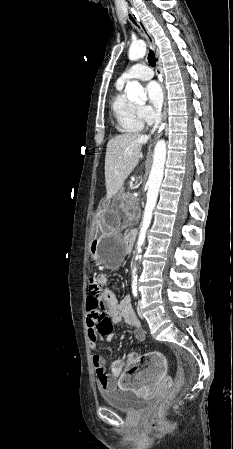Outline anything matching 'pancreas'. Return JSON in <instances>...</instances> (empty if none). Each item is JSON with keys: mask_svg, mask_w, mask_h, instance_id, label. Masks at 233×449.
<instances>
[{"mask_svg": "<svg viewBox=\"0 0 233 449\" xmlns=\"http://www.w3.org/2000/svg\"><path fill=\"white\" fill-rule=\"evenodd\" d=\"M124 197H125V199H126L127 201L133 202V205H131V206L128 205V206L126 207V209L129 210V208L131 207L132 210L134 211L133 214H134L136 217H138L139 214H140V209H139V206H138V203H137V198H135L132 194H129V193L125 194Z\"/></svg>", "mask_w": 233, "mask_h": 449, "instance_id": "cf45deb5", "label": "pancreas"}]
</instances>
